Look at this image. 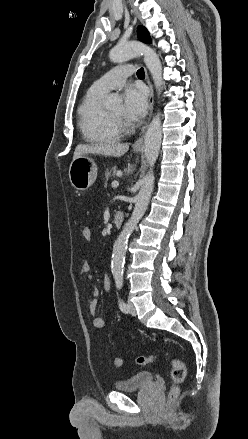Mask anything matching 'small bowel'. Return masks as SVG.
I'll use <instances>...</instances> for the list:
<instances>
[{
  "mask_svg": "<svg viewBox=\"0 0 248 439\" xmlns=\"http://www.w3.org/2000/svg\"><path fill=\"white\" fill-rule=\"evenodd\" d=\"M90 272H91V265L88 261H85L82 263L79 273H78V278L81 281H86V282H90L91 277H90ZM103 286L104 289L106 291L110 290V279L109 276L107 274L104 275L103 277ZM98 290L96 289V287L94 285H90V297L87 299V304L89 306V311L90 314L93 318V325L96 328L102 329L106 326V321L103 317L99 316L97 314V306H98Z\"/></svg>",
  "mask_w": 248,
  "mask_h": 439,
  "instance_id": "1",
  "label": "small bowel"
}]
</instances>
